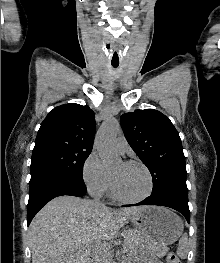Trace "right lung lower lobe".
<instances>
[{"mask_svg": "<svg viewBox=\"0 0 220 263\" xmlns=\"http://www.w3.org/2000/svg\"><path fill=\"white\" fill-rule=\"evenodd\" d=\"M87 189L82 178L48 169L31 171L29 182V201L27 205V225L36 213L51 199L72 195L82 197Z\"/></svg>", "mask_w": 220, "mask_h": 263, "instance_id": "1", "label": "right lung lower lobe"}]
</instances>
